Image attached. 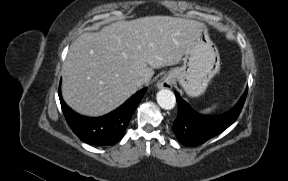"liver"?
Returning a JSON list of instances; mask_svg holds the SVG:
<instances>
[{"label":"liver","instance_id":"liver-1","mask_svg":"<svg viewBox=\"0 0 288 181\" xmlns=\"http://www.w3.org/2000/svg\"><path fill=\"white\" fill-rule=\"evenodd\" d=\"M198 25L158 15L84 32L70 45L63 65L64 101L88 116L114 110L137 91L136 79L149 83L153 69L181 61Z\"/></svg>","mask_w":288,"mask_h":181}]
</instances>
